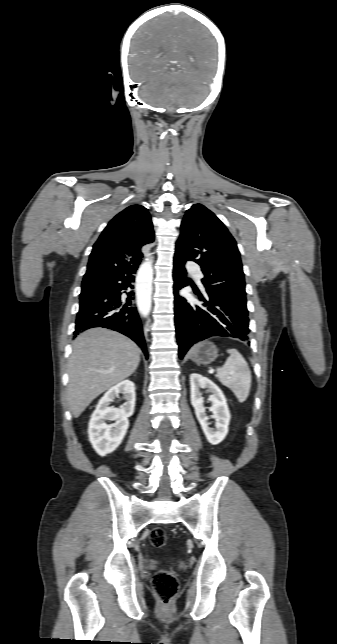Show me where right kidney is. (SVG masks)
<instances>
[{
	"label": "right kidney",
	"mask_w": 337,
	"mask_h": 644,
	"mask_svg": "<svg viewBox=\"0 0 337 644\" xmlns=\"http://www.w3.org/2000/svg\"><path fill=\"white\" fill-rule=\"evenodd\" d=\"M123 394L126 402L120 408L110 407V403ZM135 408V385L124 380L111 387L99 400L89 421L88 435L94 450L100 456L112 453L121 444L129 427L128 417ZM106 420L115 421L107 425Z\"/></svg>",
	"instance_id": "1"
}]
</instances>
